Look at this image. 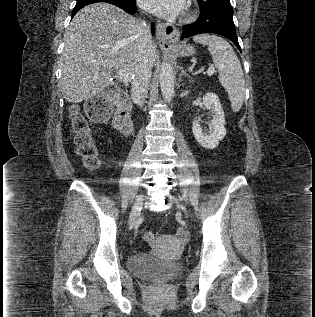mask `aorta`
<instances>
[{"label":"aorta","instance_id":"obj_1","mask_svg":"<svg viewBox=\"0 0 315 317\" xmlns=\"http://www.w3.org/2000/svg\"><path fill=\"white\" fill-rule=\"evenodd\" d=\"M174 71L172 66L164 61L160 69V87L164 100L170 102L174 96Z\"/></svg>","mask_w":315,"mask_h":317}]
</instances>
